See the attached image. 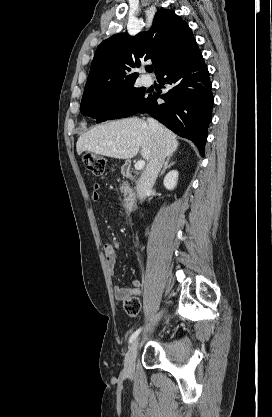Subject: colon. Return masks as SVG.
<instances>
[{
  "instance_id": "5ec220e1",
  "label": "colon",
  "mask_w": 272,
  "mask_h": 417,
  "mask_svg": "<svg viewBox=\"0 0 272 417\" xmlns=\"http://www.w3.org/2000/svg\"><path fill=\"white\" fill-rule=\"evenodd\" d=\"M85 167L96 176H103L106 169V160L97 154H86L83 158ZM125 311L130 316H137L141 309V303L138 298L130 297L124 302Z\"/></svg>"
}]
</instances>
